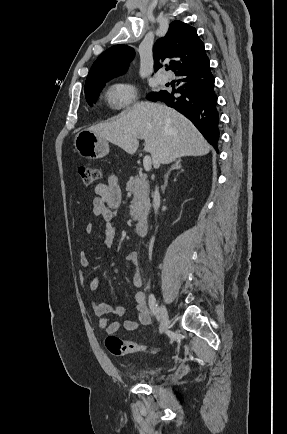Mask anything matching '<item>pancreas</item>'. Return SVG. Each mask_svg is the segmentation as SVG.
I'll use <instances>...</instances> for the list:
<instances>
[{
    "label": "pancreas",
    "mask_w": 287,
    "mask_h": 434,
    "mask_svg": "<svg viewBox=\"0 0 287 434\" xmlns=\"http://www.w3.org/2000/svg\"><path fill=\"white\" fill-rule=\"evenodd\" d=\"M126 190L134 196L130 205L132 219L136 221L147 216L151 205L146 175L131 177L127 182Z\"/></svg>",
    "instance_id": "cf45deb5"
}]
</instances>
